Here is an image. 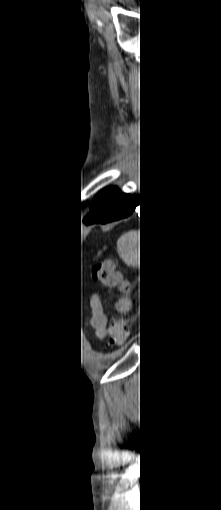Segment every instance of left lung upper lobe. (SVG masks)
Instances as JSON below:
<instances>
[{
	"instance_id": "obj_1",
	"label": "left lung upper lobe",
	"mask_w": 221,
	"mask_h": 510,
	"mask_svg": "<svg viewBox=\"0 0 221 510\" xmlns=\"http://www.w3.org/2000/svg\"><path fill=\"white\" fill-rule=\"evenodd\" d=\"M121 191L117 187H108L101 190L93 199L90 211L103 208L112 202Z\"/></svg>"
}]
</instances>
